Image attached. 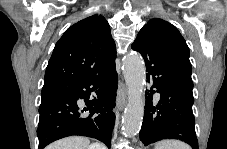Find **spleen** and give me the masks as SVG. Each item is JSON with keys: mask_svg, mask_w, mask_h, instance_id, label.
<instances>
[{"mask_svg": "<svg viewBox=\"0 0 227 149\" xmlns=\"http://www.w3.org/2000/svg\"><path fill=\"white\" fill-rule=\"evenodd\" d=\"M154 149H190V147L181 141L164 140L158 142Z\"/></svg>", "mask_w": 227, "mask_h": 149, "instance_id": "1", "label": "spleen"}]
</instances>
